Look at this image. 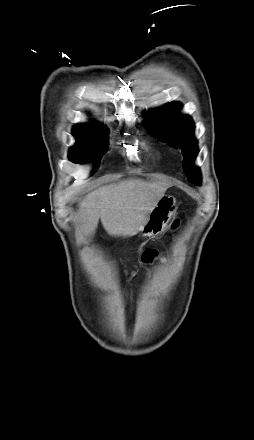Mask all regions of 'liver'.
Returning <instances> with one entry per match:
<instances>
[{
    "mask_svg": "<svg viewBox=\"0 0 254 440\" xmlns=\"http://www.w3.org/2000/svg\"><path fill=\"white\" fill-rule=\"evenodd\" d=\"M168 187L166 182L131 178L91 191L78 205V216L84 231L93 233L101 219L110 236L136 235Z\"/></svg>",
    "mask_w": 254,
    "mask_h": 440,
    "instance_id": "liver-1",
    "label": "liver"
}]
</instances>
